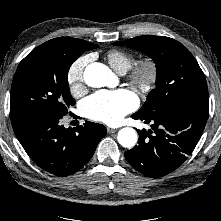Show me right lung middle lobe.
<instances>
[{"label":"right lung middle lobe","instance_id":"1","mask_svg":"<svg viewBox=\"0 0 221 221\" xmlns=\"http://www.w3.org/2000/svg\"><path fill=\"white\" fill-rule=\"evenodd\" d=\"M91 47H78L67 40H50L33 49L19 64L11 86L12 125L27 119L62 118L75 104L70 95L68 71Z\"/></svg>","mask_w":221,"mask_h":221}]
</instances>
